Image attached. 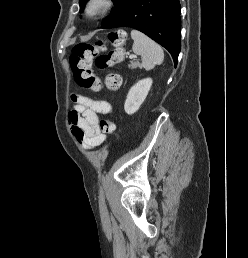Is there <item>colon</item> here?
I'll list each match as a JSON object with an SVG mask.
<instances>
[{"label": "colon", "mask_w": 248, "mask_h": 258, "mask_svg": "<svg viewBox=\"0 0 248 258\" xmlns=\"http://www.w3.org/2000/svg\"><path fill=\"white\" fill-rule=\"evenodd\" d=\"M126 33L122 30L113 31L108 34L106 40H99L94 45L78 43L73 46L69 64L76 83L92 91H100L103 86L108 90L114 91L119 87V80L116 77H108L102 80L93 70V64L98 69H105L120 63L126 53ZM107 43L112 44L115 48L105 53ZM103 133H115V125L111 120L103 119L99 123Z\"/></svg>", "instance_id": "obj_1"}]
</instances>
